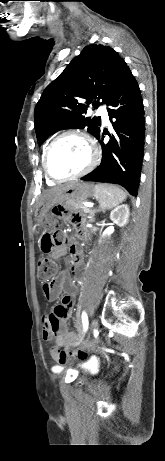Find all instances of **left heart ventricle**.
Wrapping results in <instances>:
<instances>
[{"mask_svg": "<svg viewBox=\"0 0 165 461\" xmlns=\"http://www.w3.org/2000/svg\"><path fill=\"white\" fill-rule=\"evenodd\" d=\"M89 150L85 142L68 136L56 143L51 151L48 166L56 177H66L81 171L89 162Z\"/></svg>", "mask_w": 165, "mask_h": 461, "instance_id": "obj_1", "label": "left heart ventricle"}]
</instances>
